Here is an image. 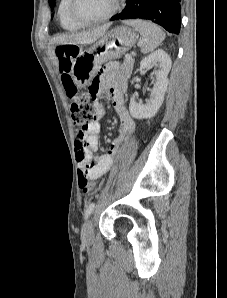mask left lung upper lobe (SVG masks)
<instances>
[{"instance_id": "obj_1", "label": "left lung upper lobe", "mask_w": 227, "mask_h": 298, "mask_svg": "<svg viewBox=\"0 0 227 298\" xmlns=\"http://www.w3.org/2000/svg\"><path fill=\"white\" fill-rule=\"evenodd\" d=\"M56 0H49V5L50 7L53 9L54 5H55Z\"/></svg>"}]
</instances>
